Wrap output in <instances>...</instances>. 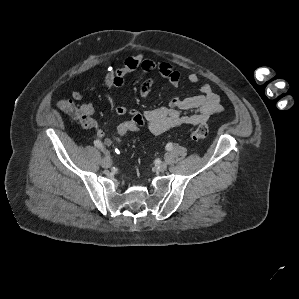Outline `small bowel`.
I'll list each match as a JSON object with an SVG mask.
<instances>
[{
    "instance_id": "small-bowel-1",
    "label": "small bowel",
    "mask_w": 299,
    "mask_h": 299,
    "mask_svg": "<svg viewBox=\"0 0 299 299\" xmlns=\"http://www.w3.org/2000/svg\"><path fill=\"white\" fill-rule=\"evenodd\" d=\"M137 70L151 75L141 85L140 95L142 98L147 97L152 92L158 77L167 79L173 86H178L180 82L179 72L169 62L157 63L146 59L142 54H138L126 58L122 67L107 72L103 77V85L107 89L121 87L125 83L126 78ZM198 80L196 73L188 75L189 82L197 83ZM72 97L75 100H81L82 93L75 90L72 92ZM81 107L89 116L94 113V107L90 103L83 104ZM222 110L223 106L220 97L212 90L209 84L202 85L198 95L189 97L174 96L168 106L142 112L130 109L125 105H119L115 108L117 115H128L130 118L138 121L142 127H147L154 135L163 134L172 128L182 125H198ZM86 127L95 129L98 137H104L103 130L94 119ZM111 144V139L105 138V145L111 146Z\"/></svg>"
}]
</instances>
